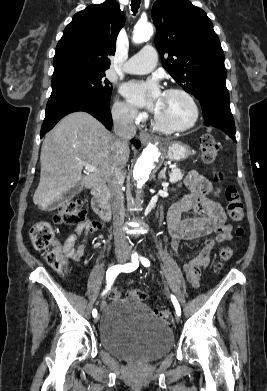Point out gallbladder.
<instances>
[{
  "label": "gallbladder",
  "instance_id": "bac80fb5",
  "mask_svg": "<svg viewBox=\"0 0 267 391\" xmlns=\"http://www.w3.org/2000/svg\"><path fill=\"white\" fill-rule=\"evenodd\" d=\"M83 185L81 182L77 183L74 187L69 189L58 201H67L75 197L82 191Z\"/></svg>",
  "mask_w": 267,
  "mask_h": 391
}]
</instances>
